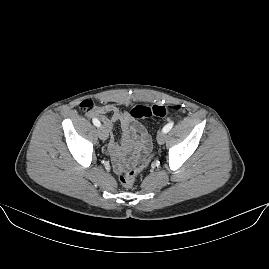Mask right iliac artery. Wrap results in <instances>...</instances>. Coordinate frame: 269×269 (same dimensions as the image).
I'll list each match as a JSON object with an SVG mask.
<instances>
[{
  "label": "right iliac artery",
  "instance_id": "obj_1",
  "mask_svg": "<svg viewBox=\"0 0 269 269\" xmlns=\"http://www.w3.org/2000/svg\"><path fill=\"white\" fill-rule=\"evenodd\" d=\"M93 124L97 127H99L101 125L100 121L96 118L93 119Z\"/></svg>",
  "mask_w": 269,
  "mask_h": 269
}]
</instances>
